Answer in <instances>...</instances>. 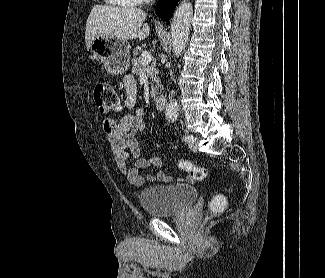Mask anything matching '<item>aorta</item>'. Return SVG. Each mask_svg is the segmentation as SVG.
<instances>
[{"label": "aorta", "instance_id": "762f6f07", "mask_svg": "<svg viewBox=\"0 0 325 278\" xmlns=\"http://www.w3.org/2000/svg\"><path fill=\"white\" fill-rule=\"evenodd\" d=\"M193 15L192 4L188 0H184L175 10L172 24L171 36L173 54L179 57L185 50L191 28V18ZM166 117L174 122L178 117V104L171 101L166 106Z\"/></svg>", "mask_w": 325, "mask_h": 278}]
</instances>
